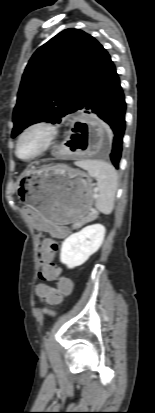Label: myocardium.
<instances>
[{
  "label": "myocardium",
  "mask_w": 155,
  "mask_h": 413,
  "mask_svg": "<svg viewBox=\"0 0 155 413\" xmlns=\"http://www.w3.org/2000/svg\"><path fill=\"white\" fill-rule=\"evenodd\" d=\"M35 129H41V130L45 131V133H46L45 142H44L42 148L36 154H34L33 156H31L29 158H23L19 155V152H18L20 142L26 134H28L29 132H31L32 130H35ZM56 134H57V130L54 127V125L47 122V121L38 120V121H34V122L29 123L28 125H26L22 129V131L19 133V135L17 137L16 143H15V149H14L16 157L18 159H20L21 161H25V162L32 161V160L40 157L41 155H43L50 148V146L52 145V143H53V141L56 137Z\"/></svg>",
  "instance_id": "myocardium-1"
}]
</instances>
